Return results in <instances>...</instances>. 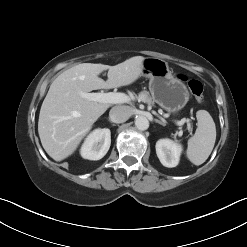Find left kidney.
I'll use <instances>...</instances> for the list:
<instances>
[{"label":"left kidney","mask_w":247,"mask_h":247,"mask_svg":"<svg viewBox=\"0 0 247 247\" xmlns=\"http://www.w3.org/2000/svg\"><path fill=\"white\" fill-rule=\"evenodd\" d=\"M156 153L163 166L176 167L182 153V146L170 139H160L156 143Z\"/></svg>","instance_id":"left-kidney-1"}]
</instances>
